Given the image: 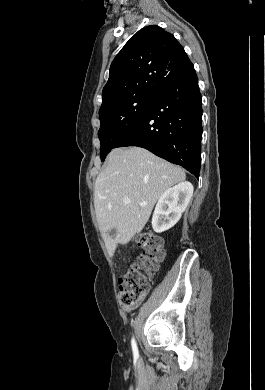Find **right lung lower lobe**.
Wrapping results in <instances>:
<instances>
[{"mask_svg":"<svg viewBox=\"0 0 265 390\" xmlns=\"http://www.w3.org/2000/svg\"><path fill=\"white\" fill-rule=\"evenodd\" d=\"M201 139L202 101L191 65L156 93L116 147H143L199 178Z\"/></svg>","mask_w":265,"mask_h":390,"instance_id":"98d812e1","label":"right lung lower lobe"}]
</instances>
